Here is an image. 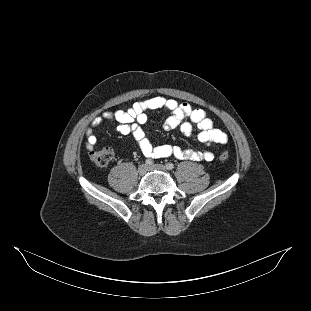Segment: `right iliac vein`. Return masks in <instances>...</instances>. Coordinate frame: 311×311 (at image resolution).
<instances>
[{"label":"right iliac vein","mask_w":311,"mask_h":311,"mask_svg":"<svg viewBox=\"0 0 311 311\" xmlns=\"http://www.w3.org/2000/svg\"><path fill=\"white\" fill-rule=\"evenodd\" d=\"M148 170V167L146 164H142L138 167V173L139 175H144Z\"/></svg>","instance_id":"obj_1"}]
</instances>
